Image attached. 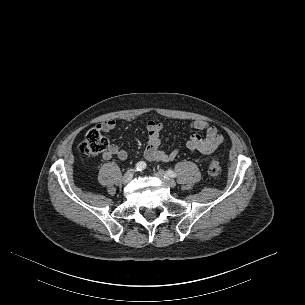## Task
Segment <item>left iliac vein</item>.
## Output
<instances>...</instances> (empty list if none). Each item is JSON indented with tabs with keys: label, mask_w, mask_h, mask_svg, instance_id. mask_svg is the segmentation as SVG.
Instances as JSON below:
<instances>
[{
	"label": "left iliac vein",
	"mask_w": 305,
	"mask_h": 305,
	"mask_svg": "<svg viewBox=\"0 0 305 305\" xmlns=\"http://www.w3.org/2000/svg\"><path fill=\"white\" fill-rule=\"evenodd\" d=\"M154 176L163 181L167 186L171 188H174L176 186L175 181L170 178H165L162 171L155 172Z\"/></svg>",
	"instance_id": "obj_1"
}]
</instances>
